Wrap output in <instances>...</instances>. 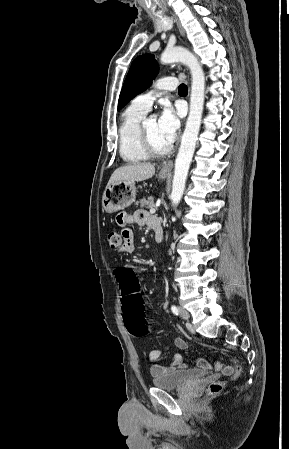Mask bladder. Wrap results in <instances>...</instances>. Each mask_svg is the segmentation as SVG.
I'll return each instance as SVG.
<instances>
[{
  "label": "bladder",
  "instance_id": "bladder-1",
  "mask_svg": "<svg viewBox=\"0 0 289 449\" xmlns=\"http://www.w3.org/2000/svg\"><path fill=\"white\" fill-rule=\"evenodd\" d=\"M207 375V371L201 369H178L152 378L156 388L174 390L185 387Z\"/></svg>",
  "mask_w": 289,
  "mask_h": 449
}]
</instances>
